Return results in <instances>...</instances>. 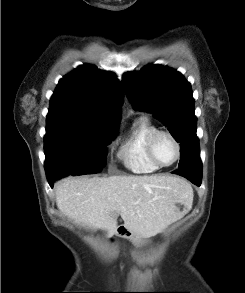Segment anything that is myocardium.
Segmentation results:
<instances>
[{"label": "myocardium", "instance_id": "myocardium-1", "mask_svg": "<svg viewBox=\"0 0 245 293\" xmlns=\"http://www.w3.org/2000/svg\"><path fill=\"white\" fill-rule=\"evenodd\" d=\"M161 136L168 137L172 141V143H173V145L175 147V151H176L175 158L169 164H162L157 159L156 154H155V144H156L157 139L159 137H161ZM147 153H148L149 159L156 166H158L159 168H167V167H170V166L174 165L179 160L180 154H181V145H180L179 141L177 140V138L170 131H167V130H159L158 129L149 138L148 145H147Z\"/></svg>", "mask_w": 245, "mask_h": 293}]
</instances>
